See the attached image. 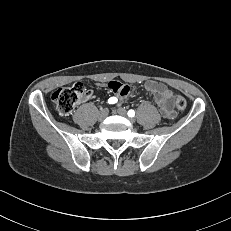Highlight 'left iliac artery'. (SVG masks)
<instances>
[{
	"mask_svg": "<svg viewBox=\"0 0 231 231\" xmlns=\"http://www.w3.org/2000/svg\"><path fill=\"white\" fill-rule=\"evenodd\" d=\"M134 115H135V111L134 110H129L128 111V116L129 117H134Z\"/></svg>",
	"mask_w": 231,
	"mask_h": 231,
	"instance_id": "1",
	"label": "left iliac artery"
}]
</instances>
